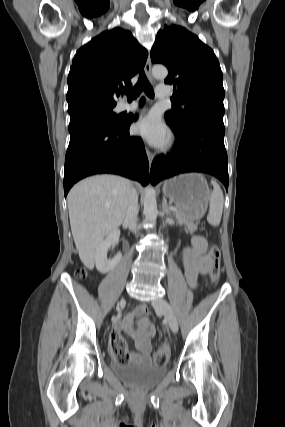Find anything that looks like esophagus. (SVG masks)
I'll use <instances>...</instances> for the list:
<instances>
[{
  "mask_svg": "<svg viewBox=\"0 0 285 427\" xmlns=\"http://www.w3.org/2000/svg\"><path fill=\"white\" fill-rule=\"evenodd\" d=\"M144 69H145V73H146L147 77L149 78L150 82L154 84L155 81H154V78H153L152 73H151V59H150V56H148V58H147V61H146ZM146 154H147V157H148L149 165L151 166V164L153 162V159H154V154L148 148H146Z\"/></svg>",
  "mask_w": 285,
  "mask_h": 427,
  "instance_id": "esophagus-1",
  "label": "esophagus"
}]
</instances>
